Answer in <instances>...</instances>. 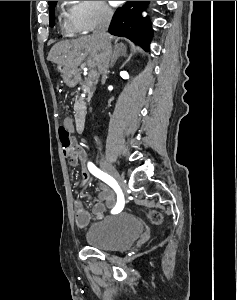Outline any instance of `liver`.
Returning <instances> with one entry per match:
<instances>
[{
	"mask_svg": "<svg viewBox=\"0 0 237 300\" xmlns=\"http://www.w3.org/2000/svg\"><path fill=\"white\" fill-rule=\"evenodd\" d=\"M115 37H107L108 43V57L105 65H109L111 55V41ZM102 53L99 39L92 37V35H85L80 39H71V41H60L52 47L47 59L56 63V65H64L67 69H77L82 61L87 59L88 67H102L103 61L100 55Z\"/></svg>",
	"mask_w": 237,
	"mask_h": 300,
	"instance_id": "liver-1",
	"label": "liver"
}]
</instances>
